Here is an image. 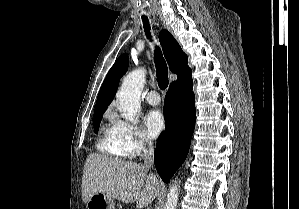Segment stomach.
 <instances>
[{
    "label": "stomach",
    "mask_w": 299,
    "mask_h": 209,
    "mask_svg": "<svg viewBox=\"0 0 299 209\" xmlns=\"http://www.w3.org/2000/svg\"><path fill=\"white\" fill-rule=\"evenodd\" d=\"M87 209H115V201L105 193H96L86 203Z\"/></svg>",
    "instance_id": "1"
}]
</instances>
